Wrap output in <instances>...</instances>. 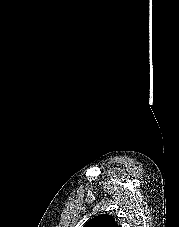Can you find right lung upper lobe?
I'll return each mask as SVG.
<instances>
[{
  "label": "right lung upper lobe",
  "mask_w": 179,
  "mask_h": 227,
  "mask_svg": "<svg viewBox=\"0 0 179 227\" xmlns=\"http://www.w3.org/2000/svg\"><path fill=\"white\" fill-rule=\"evenodd\" d=\"M83 227H118V225L112 216L101 214L89 220Z\"/></svg>",
  "instance_id": "right-lung-upper-lobe-1"
}]
</instances>
